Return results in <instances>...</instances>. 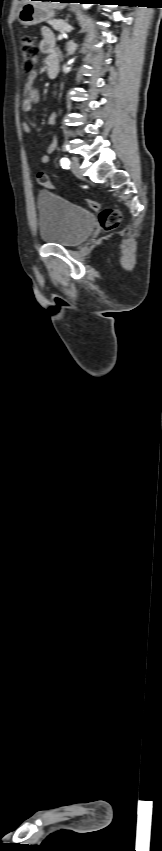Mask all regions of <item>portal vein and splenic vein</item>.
<instances>
[{
	"mask_svg": "<svg viewBox=\"0 0 162 851\" xmlns=\"http://www.w3.org/2000/svg\"><path fill=\"white\" fill-rule=\"evenodd\" d=\"M65 37H66V36H65L64 34H60V35L58 36V38H57V39H58V40H62V39H64Z\"/></svg>",
	"mask_w": 162,
	"mask_h": 851,
	"instance_id": "obj_1",
	"label": "portal vein and splenic vein"
}]
</instances>
